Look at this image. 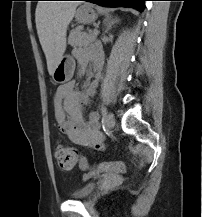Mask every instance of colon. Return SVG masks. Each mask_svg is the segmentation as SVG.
I'll use <instances>...</instances> for the list:
<instances>
[{"mask_svg": "<svg viewBox=\"0 0 202 217\" xmlns=\"http://www.w3.org/2000/svg\"><path fill=\"white\" fill-rule=\"evenodd\" d=\"M55 158L59 169L62 171H70L76 164L83 170L92 169L94 172H108L118 171L123 172L126 170V164L121 161L117 162H103L92 167L87 159L83 156L78 155L77 151L68 146H58L54 152Z\"/></svg>", "mask_w": 202, "mask_h": 217, "instance_id": "colon-1", "label": "colon"}]
</instances>
